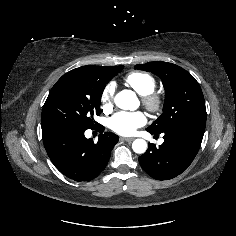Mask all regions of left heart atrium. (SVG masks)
Masks as SVG:
<instances>
[{
  "instance_id": "39dd6f15",
  "label": "left heart atrium",
  "mask_w": 236,
  "mask_h": 236,
  "mask_svg": "<svg viewBox=\"0 0 236 236\" xmlns=\"http://www.w3.org/2000/svg\"><path fill=\"white\" fill-rule=\"evenodd\" d=\"M147 122L146 115L141 111L125 112L121 111L114 114L108 121L112 131L119 135L129 136L136 130L144 126Z\"/></svg>"
}]
</instances>
